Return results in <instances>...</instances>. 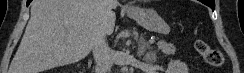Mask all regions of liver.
Returning a JSON list of instances; mask_svg holds the SVG:
<instances>
[{"mask_svg": "<svg viewBox=\"0 0 244 73\" xmlns=\"http://www.w3.org/2000/svg\"><path fill=\"white\" fill-rule=\"evenodd\" d=\"M117 0H33L9 73H41L85 58L114 31Z\"/></svg>", "mask_w": 244, "mask_h": 73, "instance_id": "1", "label": "liver"}]
</instances>
